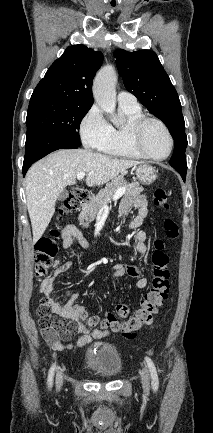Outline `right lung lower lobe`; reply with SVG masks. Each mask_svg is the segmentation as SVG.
I'll return each instance as SVG.
<instances>
[{"instance_id":"right-lung-lower-lobe-1","label":"right lung lower lobe","mask_w":213,"mask_h":433,"mask_svg":"<svg viewBox=\"0 0 213 433\" xmlns=\"http://www.w3.org/2000/svg\"><path fill=\"white\" fill-rule=\"evenodd\" d=\"M80 145L74 144L67 139L57 135L39 132L34 135H29L26 138L25 158L23 163V175L26 174L29 167L38 159L47 154L58 150L68 148H78Z\"/></svg>"}]
</instances>
